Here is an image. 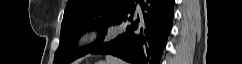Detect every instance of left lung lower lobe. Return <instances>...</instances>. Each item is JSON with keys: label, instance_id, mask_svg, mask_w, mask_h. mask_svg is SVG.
<instances>
[{"label": "left lung lower lobe", "instance_id": "0a47b994", "mask_svg": "<svg viewBox=\"0 0 242 64\" xmlns=\"http://www.w3.org/2000/svg\"><path fill=\"white\" fill-rule=\"evenodd\" d=\"M135 2L140 3L141 18L134 16ZM173 16L174 0H134L114 23L124 26V32L88 53L113 55L133 64H160Z\"/></svg>", "mask_w": 242, "mask_h": 64}]
</instances>
